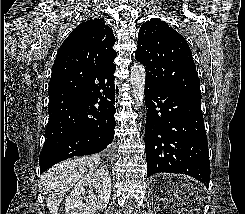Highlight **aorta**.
Wrapping results in <instances>:
<instances>
[{
  "label": "aorta",
  "mask_w": 245,
  "mask_h": 214,
  "mask_svg": "<svg viewBox=\"0 0 245 214\" xmlns=\"http://www.w3.org/2000/svg\"><path fill=\"white\" fill-rule=\"evenodd\" d=\"M145 80V68L142 64L135 63L131 67L130 83L132 86V94L136 99V107H140L144 103Z\"/></svg>",
  "instance_id": "1"
}]
</instances>
